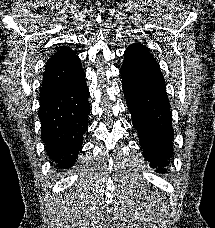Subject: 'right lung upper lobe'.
Segmentation results:
<instances>
[{"instance_id":"right-lung-upper-lobe-1","label":"right lung upper lobe","mask_w":215,"mask_h":228,"mask_svg":"<svg viewBox=\"0 0 215 228\" xmlns=\"http://www.w3.org/2000/svg\"><path fill=\"white\" fill-rule=\"evenodd\" d=\"M83 75L81 60L77 54L70 48L61 47L46 62L40 91V103L62 92L66 81L77 80Z\"/></svg>"}]
</instances>
